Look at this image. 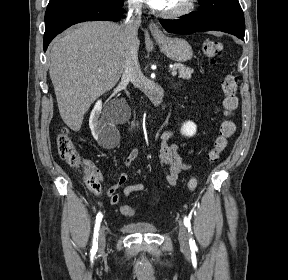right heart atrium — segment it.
Masks as SVG:
<instances>
[{
	"label": "right heart atrium",
	"mask_w": 288,
	"mask_h": 280,
	"mask_svg": "<svg viewBox=\"0 0 288 280\" xmlns=\"http://www.w3.org/2000/svg\"><path fill=\"white\" fill-rule=\"evenodd\" d=\"M143 0H127L128 7L133 11H139L142 8Z\"/></svg>",
	"instance_id": "1"
}]
</instances>
